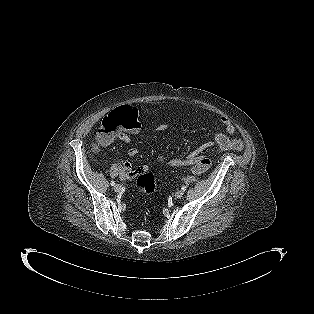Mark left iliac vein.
I'll return each mask as SVG.
<instances>
[{
	"label": "left iliac vein",
	"mask_w": 314,
	"mask_h": 314,
	"mask_svg": "<svg viewBox=\"0 0 314 314\" xmlns=\"http://www.w3.org/2000/svg\"><path fill=\"white\" fill-rule=\"evenodd\" d=\"M184 192L183 190H179L175 193V198L180 199L183 196Z\"/></svg>",
	"instance_id": "obj_1"
}]
</instances>
